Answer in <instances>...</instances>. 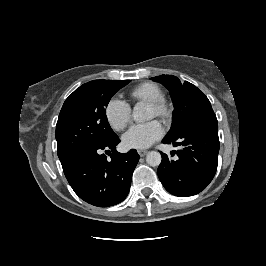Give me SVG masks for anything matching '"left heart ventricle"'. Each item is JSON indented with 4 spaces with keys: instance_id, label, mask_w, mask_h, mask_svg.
Masks as SVG:
<instances>
[{
    "instance_id": "obj_1",
    "label": "left heart ventricle",
    "mask_w": 266,
    "mask_h": 266,
    "mask_svg": "<svg viewBox=\"0 0 266 266\" xmlns=\"http://www.w3.org/2000/svg\"><path fill=\"white\" fill-rule=\"evenodd\" d=\"M156 116V111L149 106V110H148V118H153Z\"/></svg>"
}]
</instances>
